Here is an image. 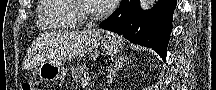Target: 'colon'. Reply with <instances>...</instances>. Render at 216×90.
<instances>
[{"instance_id":"1","label":"colon","mask_w":216,"mask_h":90,"mask_svg":"<svg viewBox=\"0 0 216 90\" xmlns=\"http://www.w3.org/2000/svg\"><path fill=\"white\" fill-rule=\"evenodd\" d=\"M22 90H37V88L32 82H25L22 85Z\"/></svg>"}]
</instances>
